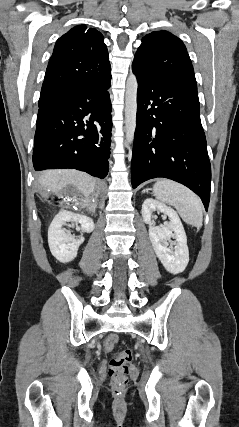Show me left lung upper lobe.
<instances>
[{
    "label": "left lung upper lobe",
    "instance_id": "obj_1",
    "mask_svg": "<svg viewBox=\"0 0 239 427\" xmlns=\"http://www.w3.org/2000/svg\"><path fill=\"white\" fill-rule=\"evenodd\" d=\"M132 66L145 75L197 93L194 70L186 47L178 37L167 31H155L143 37Z\"/></svg>",
    "mask_w": 239,
    "mask_h": 427
}]
</instances>
